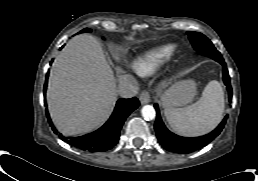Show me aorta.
<instances>
[{
    "mask_svg": "<svg viewBox=\"0 0 258 181\" xmlns=\"http://www.w3.org/2000/svg\"><path fill=\"white\" fill-rule=\"evenodd\" d=\"M142 116L145 120H153L156 116L155 109L152 105H145L141 109Z\"/></svg>",
    "mask_w": 258,
    "mask_h": 181,
    "instance_id": "aorta-1",
    "label": "aorta"
}]
</instances>
